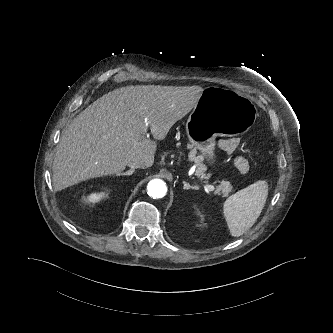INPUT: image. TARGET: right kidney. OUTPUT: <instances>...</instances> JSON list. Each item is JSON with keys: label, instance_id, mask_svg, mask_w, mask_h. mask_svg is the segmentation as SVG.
<instances>
[{"label": "right kidney", "instance_id": "obj_1", "mask_svg": "<svg viewBox=\"0 0 333 333\" xmlns=\"http://www.w3.org/2000/svg\"><path fill=\"white\" fill-rule=\"evenodd\" d=\"M103 196H104V193H98V194L94 193V194H91L88 196V200L90 202L95 203V202H98Z\"/></svg>", "mask_w": 333, "mask_h": 333}]
</instances>
